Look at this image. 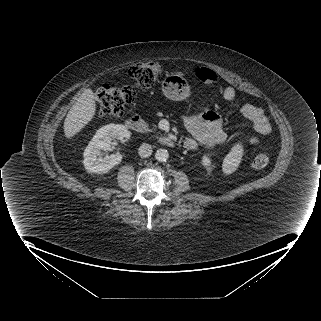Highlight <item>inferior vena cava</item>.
Segmentation results:
<instances>
[{
	"instance_id": "1",
	"label": "inferior vena cava",
	"mask_w": 321,
	"mask_h": 321,
	"mask_svg": "<svg viewBox=\"0 0 321 321\" xmlns=\"http://www.w3.org/2000/svg\"><path fill=\"white\" fill-rule=\"evenodd\" d=\"M139 156L142 158H147L152 154V147L149 144L143 143L139 147Z\"/></svg>"
}]
</instances>
